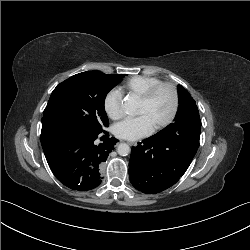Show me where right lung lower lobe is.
Returning a JSON list of instances; mask_svg holds the SVG:
<instances>
[{"label": "right lung lower lobe", "instance_id": "98d812e1", "mask_svg": "<svg viewBox=\"0 0 250 250\" xmlns=\"http://www.w3.org/2000/svg\"><path fill=\"white\" fill-rule=\"evenodd\" d=\"M99 134L72 127H55L41 132L48 165L65 186L86 191L101 184L102 163L118 140L112 137L96 145L94 141Z\"/></svg>", "mask_w": 250, "mask_h": 250}]
</instances>
